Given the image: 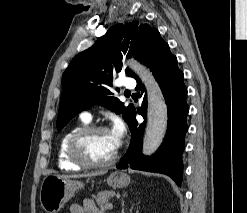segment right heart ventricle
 <instances>
[{
	"mask_svg": "<svg viewBox=\"0 0 247 213\" xmlns=\"http://www.w3.org/2000/svg\"><path fill=\"white\" fill-rule=\"evenodd\" d=\"M87 126V121L82 120L79 124L68 129L61 137L58 151H57V164L61 170L64 171H79L81 167L75 164L69 157L68 143L71 136L79 129Z\"/></svg>",
	"mask_w": 247,
	"mask_h": 213,
	"instance_id": "e07e8e85",
	"label": "right heart ventricle"
}]
</instances>
